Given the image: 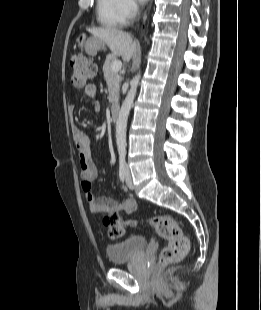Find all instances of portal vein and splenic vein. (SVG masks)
<instances>
[{"label":"portal vein and splenic vein","instance_id":"18ae733b","mask_svg":"<svg viewBox=\"0 0 261 310\" xmlns=\"http://www.w3.org/2000/svg\"><path fill=\"white\" fill-rule=\"evenodd\" d=\"M122 67V62L119 61V60H115L113 63H112V66H111V70L113 72H118Z\"/></svg>","mask_w":261,"mask_h":310}]
</instances>
